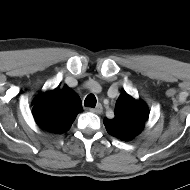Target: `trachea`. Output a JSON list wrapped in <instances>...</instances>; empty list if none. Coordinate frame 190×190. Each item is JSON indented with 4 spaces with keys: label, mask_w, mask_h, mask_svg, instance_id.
<instances>
[{
    "label": "trachea",
    "mask_w": 190,
    "mask_h": 190,
    "mask_svg": "<svg viewBox=\"0 0 190 190\" xmlns=\"http://www.w3.org/2000/svg\"><path fill=\"white\" fill-rule=\"evenodd\" d=\"M96 97L93 94H89L84 101V106L85 107H91L94 108L96 106Z\"/></svg>",
    "instance_id": "3493384b"
}]
</instances>
